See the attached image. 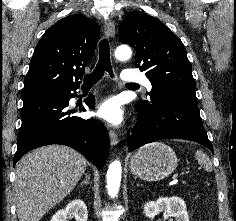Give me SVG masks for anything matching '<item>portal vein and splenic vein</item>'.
<instances>
[{
    "label": "portal vein and splenic vein",
    "mask_w": 236,
    "mask_h": 221,
    "mask_svg": "<svg viewBox=\"0 0 236 221\" xmlns=\"http://www.w3.org/2000/svg\"><path fill=\"white\" fill-rule=\"evenodd\" d=\"M177 180H178V175H174V176H173V181H176V182H177Z\"/></svg>",
    "instance_id": "18ae733b"
}]
</instances>
